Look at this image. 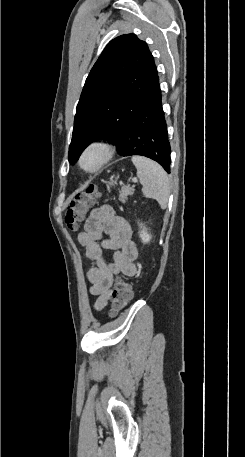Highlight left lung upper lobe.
<instances>
[{
	"label": "left lung upper lobe",
	"instance_id": "5c2ea615",
	"mask_svg": "<svg viewBox=\"0 0 245 457\" xmlns=\"http://www.w3.org/2000/svg\"><path fill=\"white\" fill-rule=\"evenodd\" d=\"M156 79L154 59L144 41L134 34L111 40L91 69L77 105L70 164L100 131L110 130L121 115L141 107Z\"/></svg>",
	"mask_w": 245,
	"mask_h": 457
}]
</instances>
